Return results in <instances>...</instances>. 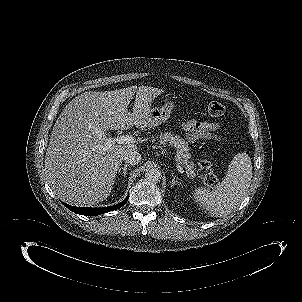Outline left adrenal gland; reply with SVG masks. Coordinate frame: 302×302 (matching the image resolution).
Masks as SVG:
<instances>
[{
    "instance_id": "obj_1",
    "label": "left adrenal gland",
    "mask_w": 302,
    "mask_h": 302,
    "mask_svg": "<svg viewBox=\"0 0 302 302\" xmlns=\"http://www.w3.org/2000/svg\"><path fill=\"white\" fill-rule=\"evenodd\" d=\"M176 175H174V172H172V181H171V187H173L174 185H177L179 182H178V178H175Z\"/></svg>"
}]
</instances>
